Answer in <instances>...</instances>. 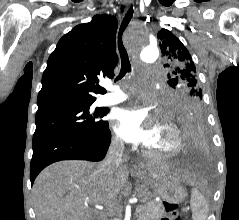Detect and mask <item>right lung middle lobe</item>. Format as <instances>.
<instances>
[{"instance_id":"dd1d6c3e","label":"right lung middle lobe","mask_w":239,"mask_h":220,"mask_svg":"<svg viewBox=\"0 0 239 220\" xmlns=\"http://www.w3.org/2000/svg\"><path fill=\"white\" fill-rule=\"evenodd\" d=\"M89 104L63 105L38 109L36 113V130L39 134L65 133L96 137L109 125L99 118L105 116V109L90 110Z\"/></svg>"}]
</instances>
